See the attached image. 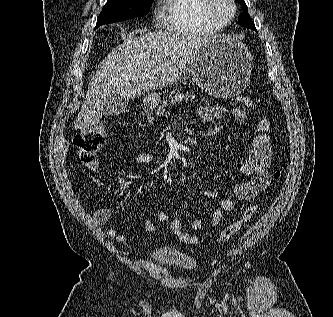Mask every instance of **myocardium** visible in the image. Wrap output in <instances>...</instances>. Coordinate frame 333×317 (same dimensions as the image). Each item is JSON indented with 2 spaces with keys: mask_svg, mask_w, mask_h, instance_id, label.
<instances>
[{
  "mask_svg": "<svg viewBox=\"0 0 333 317\" xmlns=\"http://www.w3.org/2000/svg\"><path fill=\"white\" fill-rule=\"evenodd\" d=\"M219 1L220 0H204L203 12L210 21L225 27L235 19L237 15V4L235 0H225L231 6V14L227 18H222L216 10Z\"/></svg>",
  "mask_w": 333,
  "mask_h": 317,
  "instance_id": "obj_1",
  "label": "myocardium"
}]
</instances>
